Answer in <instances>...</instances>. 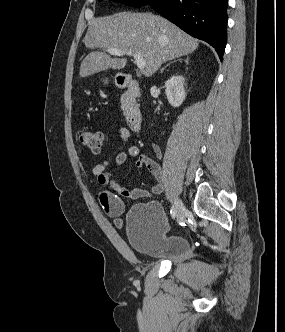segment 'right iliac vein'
Returning <instances> with one entry per match:
<instances>
[{"label": "right iliac vein", "mask_w": 285, "mask_h": 332, "mask_svg": "<svg viewBox=\"0 0 285 332\" xmlns=\"http://www.w3.org/2000/svg\"><path fill=\"white\" fill-rule=\"evenodd\" d=\"M176 218L181 221L184 217V205L178 197L175 199Z\"/></svg>", "instance_id": "right-iliac-vein-1"}]
</instances>
